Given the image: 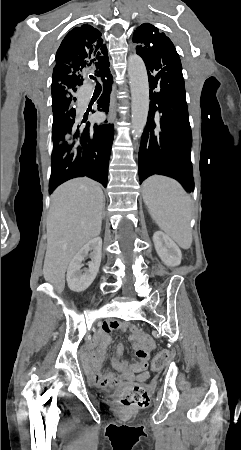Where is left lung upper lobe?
<instances>
[{"instance_id":"obj_1","label":"left lung upper lobe","mask_w":241,"mask_h":450,"mask_svg":"<svg viewBox=\"0 0 241 450\" xmlns=\"http://www.w3.org/2000/svg\"><path fill=\"white\" fill-rule=\"evenodd\" d=\"M133 42L138 55L151 59L163 53L170 39L155 26L143 24L134 31Z\"/></svg>"}]
</instances>
